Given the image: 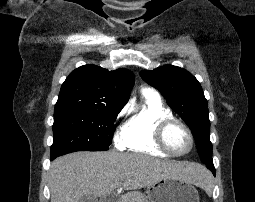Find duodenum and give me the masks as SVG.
Masks as SVG:
<instances>
[{"instance_id": "obj_1", "label": "duodenum", "mask_w": 255, "mask_h": 202, "mask_svg": "<svg viewBox=\"0 0 255 202\" xmlns=\"http://www.w3.org/2000/svg\"><path fill=\"white\" fill-rule=\"evenodd\" d=\"M99 202H115V197L112 194H106L101 196Z\"/></svg>"}]
</instances>
